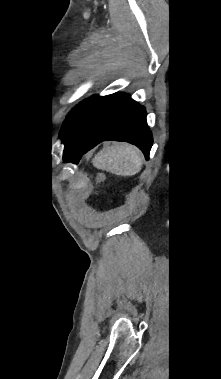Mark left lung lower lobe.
I'll list each match as a JSON object with an SVG mask.
<instances>
[{"label":"left lung lower lobe","instance_id":"obj_1","mask_svg":"<svg viewBox=\"0 0 221 379\" xmlns=\"http://www.w3.org/2000/svg\"><path fill=\"white\" fill-rule=\"evenodd\" d=\"M105 140L133 143L148 159L152 135L146 123V112L128 94L100 97L65 142L63 159L78 163L82 154Z\"/></svg>","mask_w":221,"mask_h":379}]
</instances>
